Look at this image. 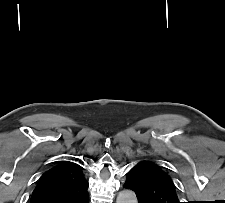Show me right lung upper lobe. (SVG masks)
<instances>
[{
    "label": "right lung upper lobe",
    "instance_id": "cb5924a9",
    "mask_svg": "<svg viewBox=\"0 0 225 203\" xmlns=\"http://www.w3.org/2000/svg\"><path fill=\"white\" fill-rule=\"evenodd\" d=\"M88 182L83 168L71 161H62L39 179L30 203H78L88 195Z\"/></svg>",
    "mask_w": 225,
    "mask_h": 203
}]
</instances>
